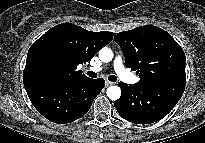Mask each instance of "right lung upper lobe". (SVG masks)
<instances>
[{"label":"right lung upper lobe","instance_id":"1","mask_svg":"<svg viewBox=\"0 0 205 143\" xmlns=\"http://www.w3.org/2000/svg\"><path fill=\"white\" fill-rule=\"evenodd\" d=\"M112 32H93L72 23L58 24L49 29L30 47L23 77L54 75L68 80L87 79L76 70L90 61L112 39Z\"/></svg>","mask_w":205,"mask_h":143}]
</instances>
